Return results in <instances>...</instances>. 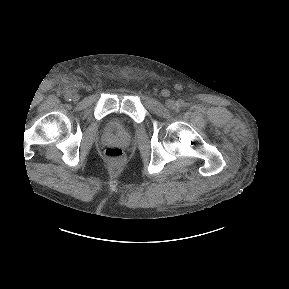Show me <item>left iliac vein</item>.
Listing matches in <instances>:
<instances>
[{
	"label": "left iliac vein",
	"mask_w": 289,
	"mask_h": 289,
	"mask_svg": "<svg viewBox=\"0 0 289 289\" xmlns=\"http://www.w3.org/2000/svg\"><path fill=\"white\" fill-rule=\"evenodd\" d=\"M166 106L170 109H173L175 107V102L171 99L167 100Z\"/></svg>",
	"instance_id": "left-iliac-vein-1"
}]
</instances>
